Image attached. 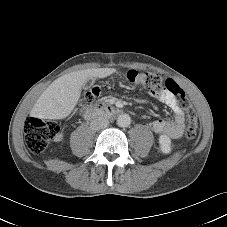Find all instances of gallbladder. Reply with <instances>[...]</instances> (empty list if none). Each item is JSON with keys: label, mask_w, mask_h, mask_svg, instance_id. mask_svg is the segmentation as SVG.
Wrapping results in <instances>:
<instances>
[{"label": "gallbladder", "mask_w": 227, "mask_h": 227, "mask_svg": "<svg viewBox=\"0 0 227 227\" xmlns=\"http://www.w3.org/2000/svg\"><path fill=\"white\" fill-rule=\"evenodd\" d=\"M93 84H94V79L93 78L88 79L85 82V84L83 85V88L87 90V89L91 88Z\"/></svg>", "instance_id": "obj_1"}]
</instances>
